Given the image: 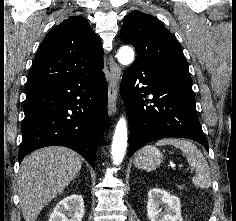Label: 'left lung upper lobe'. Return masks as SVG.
Instances as JSON below:
<instances>
[{
  "mask_svg": "<svg viewBox=\"0 0 236 221\" xmlns=\"http://www.w3.org/2000/svg\"><path fill=\"white\" fill-rule=\"evenodd\" d=\"M120 38L136 49L138 58L135 62L192 81L181 45L152 15L140 11L130 13L124 20Z\"/></svg>",
  "mask_w": 236,
  "mask_h": 221,
  "instance_id": "obj_1",
  "label": "left lung upper lobe"
}]
</instances>
